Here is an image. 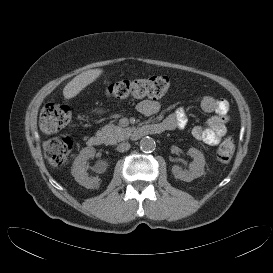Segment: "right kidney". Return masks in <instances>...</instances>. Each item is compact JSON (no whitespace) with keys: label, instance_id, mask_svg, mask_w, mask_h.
I'll use <instances>...</instances> for the list:
<instances>
[{"label":"right kidney","instance_id":"1","mask_svg":"<svg viewBox=\"0 0 273 273\" xmlns=\"http://www.w3.org/2000/svg\"><path fill=\"white\" fill-rule=\"evenodd\" d=\"M96 150L93 147L82 149L79 155L75 158L72 165V176L75 180L86 188H93L98 183L99 178H90L87 173L86 162L89 158L95 156Z\"/></svg>","mask_w":273,"mask_h":273}]
</instances>
